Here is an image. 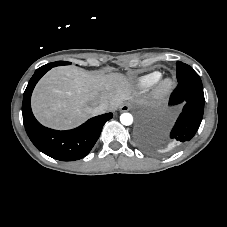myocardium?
Listing matches in <instances>:
<instances>
[{"instance_id": "1", "label": "myocardium", "mask_w": 227, "mask_h": 227, "mask_svg": "<svg viewBox=\"0 0 227 227\" xmlns=\"http://www.w3.org/2000/svg\"><path fill=\"white\" fill-rule=\"evenodd\" d=\"M173 86V80L169 77L159 79L156 91L159 95L166 94Z\"/></svg>"}]
</instances>
